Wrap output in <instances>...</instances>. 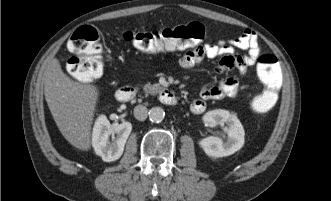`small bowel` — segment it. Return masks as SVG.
<instances>
[{
    "instance_id": "1",
    "label": "small bowel",
    "mask_w": 331,
    "mask_h": 201,
    "mask_svg": "<svg viewBox=\"0 0 331 201\" xmlns=\"http://www.w3.org/2000/svg\"><path fill=\"white\" fill-rule=\"evenodd\" d=\"M238 50L245 51L246 54H237ZM260 53L259 37L253 31L246 30L242 35L232 40L188 50L179 59L178 65L182 69H190L201 65L205 59L219 58L215 68L217 73L237 69L241 74H244L249 67L256 63ZM239 92V82L235 78H222L216 85L204 86L201 89L200 98L191 103L190 110L194 114H201L206 109V100L236 97Z\"/></svg>"
}]
</instances>
